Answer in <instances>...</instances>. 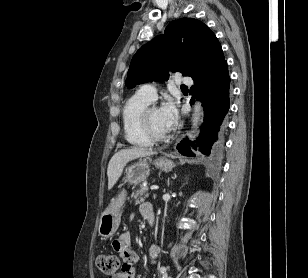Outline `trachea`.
Masks as SVG:
<instances>
[{"instance_id": "1", "label": "trachea", "mask_w": 308, "mask_h": 278, "mask_svg": "<svg viewBox=\"0 0 308 278\" xmlns=\"http://www.w3.org/2000/svg\"><path fill=\"white\" fill-rule=\"evenodd\" d=\"M182 89H187V87L183 86Z\"/></svg>"}]
</instances>
